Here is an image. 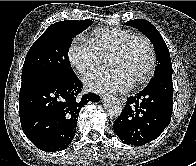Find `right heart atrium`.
Here are the masks:
<instances>
[{"label": "right heart atrium", "instance_id": "1", "mask_svg": "<svg viewBox=\"0 0 196 166\" xmlns=\"http://www.w3.org/2000/svg\"><path fill=\"white\" fill-rule=\"evenodd\" d=\"M68 58L72 67L82 75L100 67L104 62V57L94 43L82 36L72 40L68 49Z\"/></svg>", "mask_w": 196, "mask_h": 166}]
</instances>
